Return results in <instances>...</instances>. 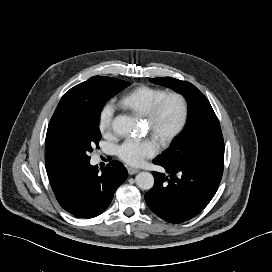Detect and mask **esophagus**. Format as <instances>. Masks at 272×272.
Returning <instances> with one entry per match:
<instances>
[{
  "instance_id": "1",
  "label": "esophagus",
  "mask_w": 272,
  "mask_h": 272,
  "mask_svg": "<svg viewBox=\"0 0 272 272\" xmlns=\"http://www.w3.org/2000/svg\"><path fill=\"white\" fill-rule=\"evenodd\" d=\"M127 170H128V173H129L130 175H134V174H136V173L139 172L138 169H135V168H132V167H128Z\"/></svg>"
}]
</instances>
